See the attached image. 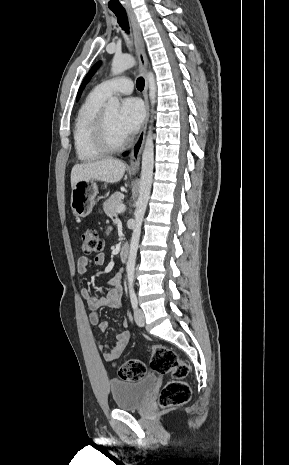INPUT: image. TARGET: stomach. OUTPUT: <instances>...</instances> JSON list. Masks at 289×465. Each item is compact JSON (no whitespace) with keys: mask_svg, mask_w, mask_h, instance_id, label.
<instances>
[{"mask_svg":"<svg viewBox=\"0 0 289 465\" xmlns=\"http://www.w3.org/2000/svg\"><path fill=\"white\" fill-rule=\"evenodd\" d=\"M98 186L95 180L78 181L71 193V209L75 216L84 218L88 216L96 203Z\"/></svg>","mask_w":289,"mask_h":465,"instance_id":"0dacf381","label":"stomach"}]
</instances>
